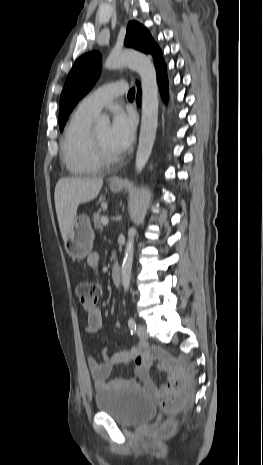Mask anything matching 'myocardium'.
<instances>
[{
	"label": "myocardium",
	"instance_id": "myocardium-1",
	"mask_svg": "<svg viewBox=\"0 0 263 465\" xmlns=\"http://www.w3.org/2000/svg\"><path fill=\"white\" fill-rule=\"evenodd\" d=\"M90 142L92 145V149L94 152V155L96 159L102 164V165H110L115 162H117L120 158V155L117 154H110L108 153L100 144L99 140L97 139L94 130L90 131Z\"/></svg>",
	"mask_w": 263,
	"mask_h": 465
}]
</instances>
